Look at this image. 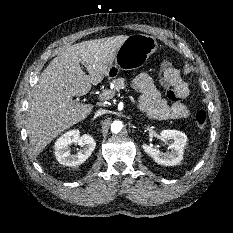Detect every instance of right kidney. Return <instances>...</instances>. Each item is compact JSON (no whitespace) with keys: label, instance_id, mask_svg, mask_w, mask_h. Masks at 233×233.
<instances>
[{"label":"right kidney","instance_id":"ca27d5eb","mask_svg":"<svg viewBox=\"0 0 233 233\" xmlns=\"http://www.w3.org/2000/svg\"><path fill=\"white\" fill-rule=\"evenodd\" d=\"M78 144L82 148L76 154H71V144ZM96 142L89 134L80 136L79 130H71L63 134L55 142V156L58 162L66 166H78L85 162L94 151Z\"/></svg>","mask_w":233,"mask_h":233}]
</instances>
